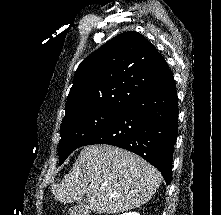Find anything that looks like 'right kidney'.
Segmentation results:
<instances>
[{"mask_svg": "<svg viewBox=\"0 0 221 215\" xmlns=\"http://www.w3.org/2000/svg\"><path fill=\"white\" fill-rule=\"evenodd\" d=\"M121 215H140V214L137 212H128V213H123Z\"/></svg>", "mask_w": 221, "mask_h": 215, "instance_id": "right-kidney-1", "label": "right kidney"}]
</instances>
